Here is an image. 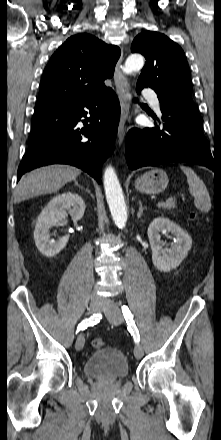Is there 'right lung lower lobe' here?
<instances>
[{
	"label": "right lung lower lobe",
	"instance_id": "right-lung-lower-lobe-1",
	"mask_svg": "<svg viewBox=\"0 0 221 440\" xmlns=\"http://www.w3.org/2000/svg\"><path fill=\"white\" fill-rule=\"evenodd\" d=\"M119 118V100L111 88L97 96L35 107L17 180L35 168L60 163L76 166L100 183L102 164L114 149Z\"/></svg>",
	"mask_w": 221,
	"mask_h": 440
}]
</instances>
